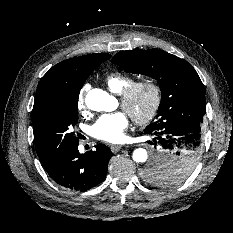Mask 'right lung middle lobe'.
<instances>
[{
  "mask_svg": "<svg viewBox=\"0 0 233 233\" xmlns=\"http://www.w3.org/2000/svg\"><path fill=\"white\" fill-rule=\"evenodd\" d=\"M79 91L70 96H56L32 110L36 152L40 157L52 155L79 142L72 132L78 123Z\"/></svg>",
  "mask_w": 233,
  "mask_h": 233,
  "instance_id": "obj_1",
  "label": "right lung middle lobe"
}]
</instances>
